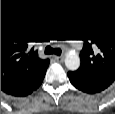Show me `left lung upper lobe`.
<instances>
[{
	"label": "left lung upper lobe",
	"instance_id": "left-lung-upper-lobe-1",
	"mask_svg": "<svg viewBox=\"0 0 115 114\" xmlns=\"http://www.w3.org/2000/svg\"><path fill=\"white\" fill-rule=\"evenodd\" d=\"M81 65L75 76L112 84L115 81V18L91 26L82 36Z\"/></svg>",
	"mask_w": 115,
	"mask_h": 114
}]
</instances>
